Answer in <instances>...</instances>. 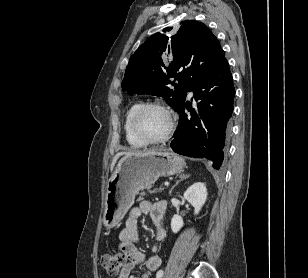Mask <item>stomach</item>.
<instances>
[{"mask_svg":"<svg viewBox=\"0 0 308 278\" xmlns=\"http://www.w3.org/2000/svg\"><path fill=\"white\" fill-rule=\"evenodd\" d=\"M184 167V159L172 152L153 150L124 155L108 181L103 225L107 229L115 227L139 191L150 187L159 177L181 172Z\"/></svg>","mask_w":308,"mask_h":278,"instance_id":"obj_1","label":"stomach"}]
</instances>
